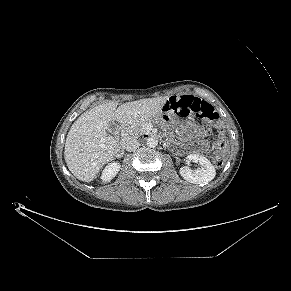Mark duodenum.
Here are the masks:
<instances>
[{
    "instance_id": "duodenum-1",
    "label": "duodenum",
    "mask_w": 291,
    "mask_h": 291,
    "mask_svg": "<svg viewBox=\"0 0 291 291\" xmlns=\"http://www.w3.org/2000/svg\"><path fill=\"white\" fill-rule=\"evenodd\" d=\"M125 141H121L118 147V155H121Z\"/></svg>"
}]
</instances>
